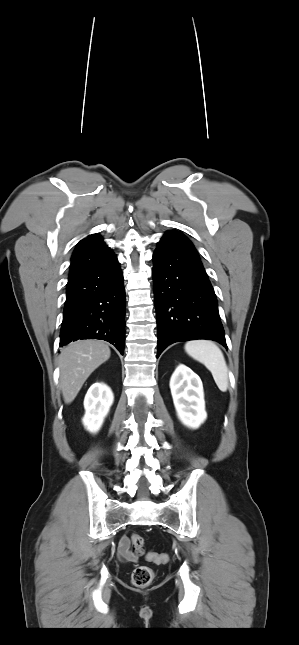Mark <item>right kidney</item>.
<instances>
[{"label":"right kidney","mask_w":299,"mask_h":645,"mask_svg":"<svg viewBox=\"0 0 299 645\" xmlns=\"http://www.w3.org/2000/svg\"><path fill=\"white\" fill-rule=\"evenodd\" d=\"M113 400V393L106 384L94 383L89 388L84 399L85 415L82 419L83 425L89 432L99 431Z\"/></svg>","instance_id":"ca27d5eb"}]
</instances>
